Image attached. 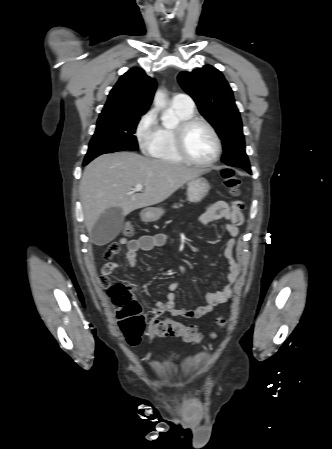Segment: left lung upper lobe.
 Here are the masks:
<instances>
[{"label":"left lung upper lobe","instance_id":"obj_1","mask_svg":"<svg viewBox=\"0 0 332 449\" xmlns=\"http://www.w3.org/2000/svg\"><path fill=\"white\" fill-rule=\"evenodd\" d=\"M178 81L222 140V162L251 173L240 114L223 74L216 68L205 65L192 72H181Z\"/></svg>","mask_w":332,"mask_h":449}]
</instances>
